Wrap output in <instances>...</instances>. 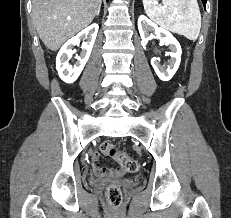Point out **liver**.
<instances>
[{
	"mask_svg": "<svg viewBox=\"0 0 231 218\" xmlns=\"http://www.w3.org/2000/svg\"><path fill=\"white\" fill-rule=\"evenodd\" d=\"M102 0H32V16L44 45L58 50L63 43L87 27Z\"/></svg>",
	"mask_w": 231,
	"mask_h": 218,
	"instance_id": "liver-1",
	"label": "liver"
}]
</instances>
